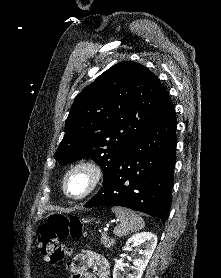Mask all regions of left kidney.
<instances>
[{
  "label": "left kidney",
  "mask_w": 221,
  "mask_h": 278,
  "mask_svg": "<svg viewBox=\"0 0 221 278\" xmlns=\"http://www.w3.org/2000/svg\"><path fill=\"white\" fill-rule=\"evenodd\" d=\"M143 245L144 250L139 251V257L134 260L132 266V273L128 274L127 278H141L149 260L157 245V236L151 232H141L130 237L124 247L125 251H131L132 247ZM123 270V263L118 260L114 266L113 278H123L121 271Z\"/></svg>",
  "instance_id": "1"
}]
</instances>
